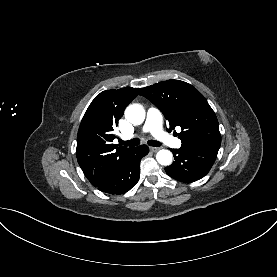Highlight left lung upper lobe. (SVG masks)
I'll return each mask as SVG.
<instances>
[{
    "label": "left lung upper lobe",
    "instance_id": "5c2ea615",
    "mask_svg": "<svg viewBox=\"0 0 277 277\" xmlns=\"http://www.w3.org/2000/svg\"><path fill=\"white\" fill-rule=\"evenodd\" d=\"M141 95L162 111L170 131L181 127L178 137L182 146L221 143L216 115L192 85L171 79L143 88Z\"/></svg>",
    "mask_w": 277,
    "mask_h": 277
}]
</instances>
